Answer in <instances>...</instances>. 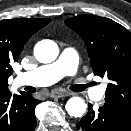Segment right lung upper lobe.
<instances>
[{"label":"right lung upper lobe","instance_id":"obj_1","mask_svg":"<svg viewBox=\"0 0 131 131\" xmlns=\"http://www.w3.org/2000/svg\"><path fill=\"white\" fill-rule=\"evenodd\" d=\"M50 19L17 18L0 21V90L7 89V80L13 73L12 65L28 39L46 26Z\"/></svg>","mask_w":131,"mask_h":131}]
</instances>
